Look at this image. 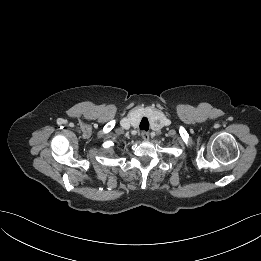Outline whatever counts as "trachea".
<instances>
[{"instance_id": "1", "label": "trachea", "mask_w": 261, "mask_h": 261, "mask_svg": "<svg viewBox=\"0 0 261 261\" xmlns=\"http://www.w3.org/2000/svg\"><path fill=\"white\" fill-rule=\"evenodd\" d=\"M140 129H141V130L148 131V129H149V121H148V119H147L146 117H144V118L141 120Z\"/></svg>"}]
</instances>
